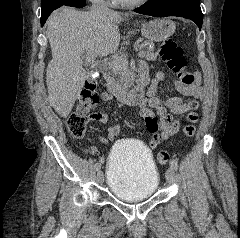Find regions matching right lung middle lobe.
Instances as JSON below:
<instances>
[{
  "mask_svg": "<svg viewBox=\"0 0 240 238\" xmlns=\"http://www.w3.org/2000/svg\"><path fill=\"white\" fill-rule=\"evenodd\" d=\"M71 1L72 0H41L42 4L41 20L48 18L51 12L54 11L55 9L63 5L69 6Z\"/></svg>",
  "mask_w": 240,
  "mask_h": 238,
  "instance_id": "1",
  "label": "right lung middle lobe"
}]
</instances>
